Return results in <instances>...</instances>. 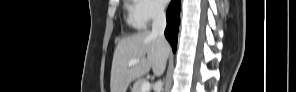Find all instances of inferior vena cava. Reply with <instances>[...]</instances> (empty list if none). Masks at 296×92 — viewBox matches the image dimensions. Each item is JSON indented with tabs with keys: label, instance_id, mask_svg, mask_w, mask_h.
<instances>
[{
	"label": "inferior vena cava",
	"instance_id": "1",
	"mask_svg": "<svg viewBox=\"0 0 296 92\" xmlns=\"http://www.w3.org/2000/svg\"><path fill=\"white\" fill-rule=\"evenodd\" d=\"M166 27V16L164 12V7L162 5H156L154 8L153 14V23H152V35L158 36L161 39H164V30ZM163 82L158 81L155 86V92L162 91Z\"/></svg>",
	"mask_w": 296,
	"mask_h": 92
}]
</instances>
